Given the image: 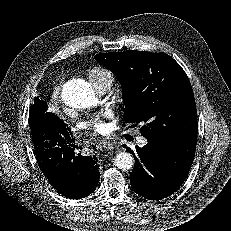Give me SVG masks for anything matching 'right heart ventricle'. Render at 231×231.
<instances>
[{
    "instance_id": "obj_1",
    "label": "right heart ventricle",
    "mask_w": 231,
    "mask_h": 231,
    "mask_svg": "<svg viewBox=\"0 0 231 231\" xmlns=\"http://www.w3.org/2000/svg\"><path fill=\"white\" fill-rule=\"evenodd\" d=\"M89 78L94 86L103 82L113 81V74L110 70L104 67H95L89 72Z\"/></svg>"
}]
</instances>
